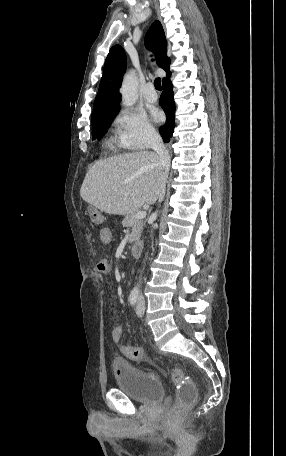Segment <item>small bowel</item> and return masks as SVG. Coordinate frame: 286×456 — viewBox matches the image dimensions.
I'll list each match as a JSON object with an SVG mask.
<instances>
[{
	"label": "small bowel",
	"mask_w": 286,
	"mask_h": 456,
	"mask_svg": "<svg viewBox=\"0 0 286 456\" xmlns=\"http://www.w3.org/2000/svg\"><path fill=\"white\" fill-rule=\"evenodd\" d=\"M100 237L104 243L109 244L111 242L110 230L107 228L102 229L100 232ZM112 267H113V260L109 259V258H104L98 262L97 271L101 275L109 276L111 273ZM122 334H123V328L120 325L115 326L111 333L112 340L115 343H118L122 338ZM124 347H125L124 345L120 346V351L122 354H123Z\"/></svg>",
	"instance_id": "obj_1"
}]
</instances>
